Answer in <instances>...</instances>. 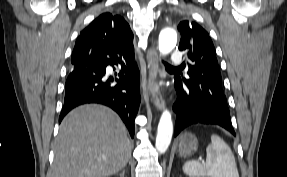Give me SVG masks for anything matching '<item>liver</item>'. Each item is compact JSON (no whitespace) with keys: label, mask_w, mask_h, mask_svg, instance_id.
I'll use <instances>...</instances> for the list:
<instances>
[{"label":"liver","mask_w":287,"mask_h":177,"mask_svg":"<svg viewBox=\"0 0 287 177\" xmlns=\"http://www.w3.org/2000/svg\"><path fill=\"white\" fill-rule=\"evenodd\" d=\"M49 177H107L128 163L131 143L120 117L102 105H83L60 124Z\"/></svg>","instance_id":"obj_1"}]
</instances>
